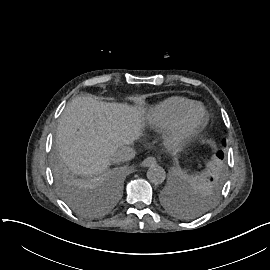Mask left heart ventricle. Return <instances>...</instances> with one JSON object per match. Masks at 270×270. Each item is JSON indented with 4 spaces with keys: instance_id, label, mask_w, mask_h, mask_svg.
Segmentation results:
<instances>
[{
    "instance_id": "1",
    "label": "left heart ventricle",
    "mask_w": 270,
    "mask_h": 270,
    "mask_svg": "<svg viewBox=\"0 0 270 270\" xmlns=\"http://www.w3.org/2000/svg\"><path fill=\"white\" fill-rule=\"evenodd\" d=\"M201 115H202L201 110L197 109L192 113L191 120L192 121L198 120L201 117Z\"/></svg>"
}]
</instances>
